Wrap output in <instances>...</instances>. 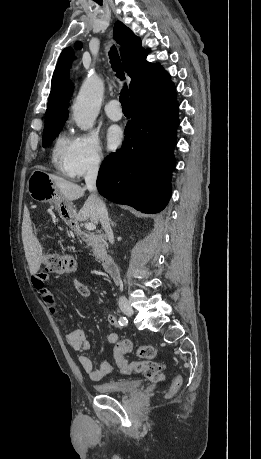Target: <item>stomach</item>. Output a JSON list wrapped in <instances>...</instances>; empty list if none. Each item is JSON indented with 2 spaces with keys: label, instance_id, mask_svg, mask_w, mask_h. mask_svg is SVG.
I'll return each instance as SVG.
<instances>
[{
  "label": "stomach",
  "instance_id": "1",
  "mask_svg": "<svg viewBox=\"0 0 261 459\" xmlns=\"http://www.w3.org/2000/svg\"><path fill=\"white\" fill-rule=\"evenodd\" d=\"M27 191L31 198L36 201L56 204L62 218L67 221V215L72 211L71 206L64 202L62 194L49 174L41 170H34L28 179Z\"/></svg>",
  "mask_w": 261,
  "mask_h": 459
}]
</instances>
